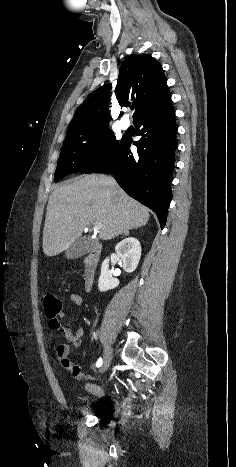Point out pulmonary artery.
<instances>
[{"label":"pulmonary artery","instance_id":"1","mask_svg":"<svg viewBox=\"0 0 236 467\" xmlns=\"http://www.w3.org/2000/svg\"><path fill=\"white\" fill-rule=\"evenodd\" d=\"M119 124H120V127H121L122 129L126 130V129H128L129 126H130V121H129L128 118L123 117V118L120 120Z\"/></svg>","mask_w":236,"mask_h":467}]
</instances>
